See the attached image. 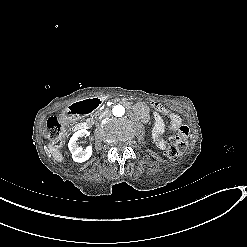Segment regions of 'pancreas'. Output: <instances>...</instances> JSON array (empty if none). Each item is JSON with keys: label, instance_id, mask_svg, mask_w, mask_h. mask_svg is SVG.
I'll use <instances>...</instances> for the list:
<instances>
[{"label": "pancreas", "instance_id": "1", "mask_svg": "<svg viewBox=\"0 0 247 247\" xmlns=\"http://www.w3.org/2000/svg\"><path fill=\"white\" fill-rule=\"evenodd\" d=\"M94 118H95V116L93 115V116H91V117L88 119V121H92V120H94Z\"/></svg>", "mask_w": 247, "mask_h": 247}]
</instances>
